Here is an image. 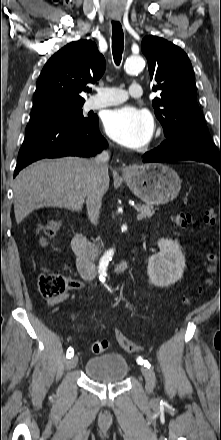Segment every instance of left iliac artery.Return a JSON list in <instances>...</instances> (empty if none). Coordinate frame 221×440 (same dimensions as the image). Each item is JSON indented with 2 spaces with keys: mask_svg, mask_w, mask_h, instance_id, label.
Instances as JSON below:
<instances>
[{
  "mask_svg": "<svg viewBox=\"0 0 221 440\" xmlns=\"http://www.w3.org/2000/svg\"><path fill=\"white\" fill-rule=\"evenodd\" d=\"M137 363H138V364H141V365H144V366L147 367V368H151V364H150L147 360H144V359L141 358V357H138V358H137Z\"/></svg>",
  "mask_w": 221,
  "mask_h": 440,
  "instance_id": "obj_1",
  "label": "left iliac artery"
}]
</instances>
